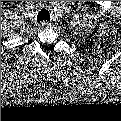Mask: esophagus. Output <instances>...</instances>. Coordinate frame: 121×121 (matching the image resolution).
Instances as JSON below:
<instances>
[{
    "instance_id": "34e87169",
    "label": "esophagus",
    "mask_w": 121,
    "mask_h": 121,
    "mask_svg": "<svg viewBox=\"0 0 121 121\" xmlns=\"http://www.w3.org/2000/svg\"><path fill=\"white\" fill-rule=\"evenodd\" d=\"M51 26V24L47 21H42L40 24L41 28H49Z\"/></svg>"
}]
</instances>
